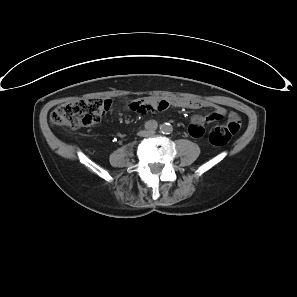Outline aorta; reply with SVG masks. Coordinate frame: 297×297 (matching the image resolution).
<instances>
[{
	"instance_id": "obj_1",
	"label": "aorta",
	"mask_w": 297,
	"mask_h": 297,
	"mask_svg": "<svg viewBox=\"0 0 297 297\" xmlns=\"http://www.w3.org/2000/svg\"><path fill=\"white\" fill-rule=\"evenodd\" d=\"M160 130L162 133L169 134L172 132V126L169 123H164L161 125Z\"/></svg>"
}]
</instances>
